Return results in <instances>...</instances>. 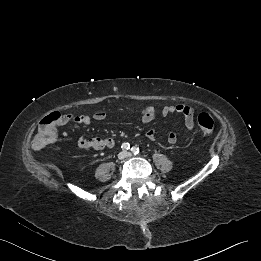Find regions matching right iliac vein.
<instances>
[{"instance_id":"63e3f726","label":"right iliac vein","mask_w":261,"mask_h":261,"mask_svg":"<svg viewBox=\"0 0 261 261\" xmlns=\"http://www.w3.org/2000/svg\"><path fill=\"white\" fill-rule=\"evenodd\" d=\"M125 157H126V153H124V152H121V153H119V155H118V158H119L120 160H123Z\"/></svg>"}]
</instances>
